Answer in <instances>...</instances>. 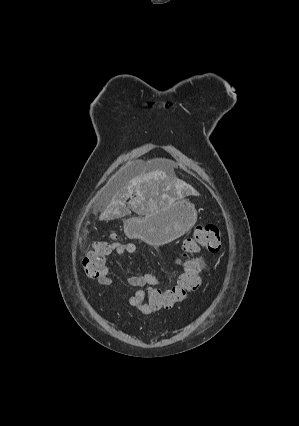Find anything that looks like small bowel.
Instances as JSON below:
<instances>
[{
  "label": "small bowel",
  "mask_w": 299,
  "mask_h": 426,
  "mask_svg": "<svg viewBox=\"0 0 299 426\" xmlns=\"http://www.w3.org/2000/svg\"><path fill=\"white\" fill-rule=\"evenodd\" d=\"M136 252H137V247L133 243L115 242V243H112L109 254L115 253L118 255H125V254H134ZM193 259L199 265L201 270L205 267V262L201 257H195ZM176 262L180 266L184 265V263L178 258ZM96 279L100 285H103V286L114 285L113 279L109 276V269L106 264L104 265L103 269L101 270L99 276ZM127 282L132 288L135 289V291L131 294L125 295V301H124L125 305H127L128 307L135 308L143 312L144 314H152L155 311H157L148 304L145 297V289L147 286H150V285L164 286L167 283L166 279H162L155 276L154 274L144 272L142 274L129 276L127 278Z\"/></svg>",
  "instance_id": "obj_1"
}]
</instances>
